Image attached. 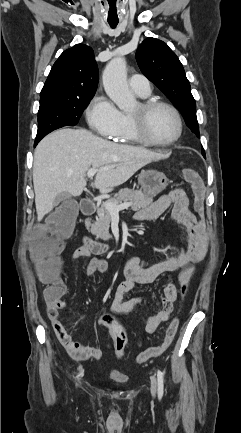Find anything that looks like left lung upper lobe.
Instances as JSON below:
<instances>
[{"label":"left lung upper lobe","instance_id":"1","mask_svg":"<svg viewBox=\"0 0 241 433\" xmlns=\"http://www.w3.org/2000/svg\"><path fill=\"white\" fill-rule=\"evenodd\" d=\"M136 60L142 73L179 108L187 126L199 137L195 100L176 54L163 41L147 38L139 45Z\"/></svg>","mask_w":241,"mask_h":433}]
</instances>
